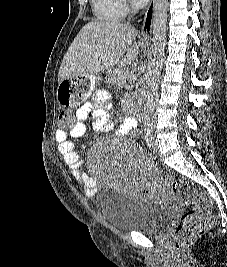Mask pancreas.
Returning <instances> with one entry per match:
<instances>
[{"label":"pancreas","mask_w":227,"mask_h":267,"mask_svg":"<svg viewBox=\"0 0 227 267\" xmlns=\"http://www.w3.org/2000/svg\"><path fill=\"white\" fill-rule=\"evenodd\" d=\"M133 75H134L133 72L128 69H119L114 71L109 76L108 82L112 85L123 86L127 82L132 81ZM130 98L133 99L134 95H132Z\"/></svg>","instance_id":"cf45deb5"}]
</instances>
